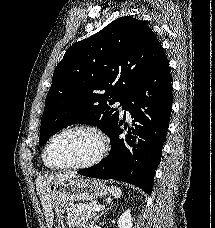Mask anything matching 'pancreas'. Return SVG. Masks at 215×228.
I'll list each match as a JSON object with an SVG mask.
<instances>
[{"label":"pancreas","instance_id":"obj_1","mask_svg":"<svg viewBox=\"0 0 215 228\" xmlns=\"http://www.w3.org/2000/svg\"><path fill=\"white\" fill-rule=\"evenodd\" d=\"M97 212H90V210H78V206H71L67 214V224L69 228H84L87 222H93L96 218Z\"/></svg>","mask_w":215,"mask_h":228}]
</instances>
